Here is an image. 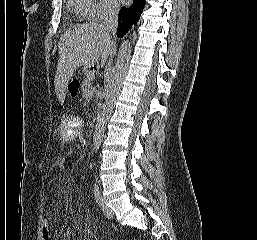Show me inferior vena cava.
I'll return each mask as SVG.
<instances>
[{"mask_svg": "<svg viewBox=\"0 0 257 240\" xmlns=\"http://www.w3.org/2000/svg\"><path fill=\"white\" fill-rule=\"evenodd\" d=\"M118 12L119 5L115 2H111L107 6L106 16L104 21L102 22L101 29L105 31L107 34L112 33L116 34L117 26H118Z\"/></svg>", "mask_w": 257, "mask_h": 240, "instance_id": "1", "label": "inferior vena cava"}]
</instances>
